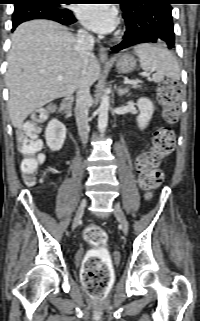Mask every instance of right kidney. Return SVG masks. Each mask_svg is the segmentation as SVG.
I'll use <instances>...</instances> for the list:
<instances>
[{
	"mask_svg": "<svg viewBox=\"0 0 200 321\" xmlns=\"http://www.w3.org/2000/svg\"><path fill=\"white\" fill-rule=\"evenodd\" d=\"M66 138V127L57 119H52L45 130V139L47 146L52 151H58L62 148Z\"/></svg>",
	"mask_w": 200,
	"mask_h": 321,
	"instance_id": "right-kidney-1",
	"label": "right kidney"
}]
</instances>
